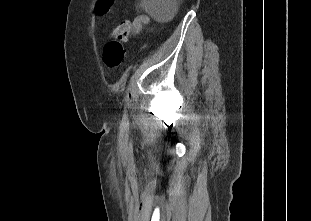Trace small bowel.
Segmentation results:
<instances>
[{
	"label": "small bowel",
	"instance_id": "small-bowel-1",
	"mask_svg": "<svg viewBox=\"0 0 311 221\" xmlns=\"http://www.w3.org/2000/svg\"><path fill=\"white\" fill-rule=\"evenodd\" d=\"M151 21L150 17L147 15H139L135 17V19L132 21V31L134 33H139L143 26L149 24Z\"/></svg>",
	"mask_w": 311,
	"mask_h": 221
}]
</instances>
